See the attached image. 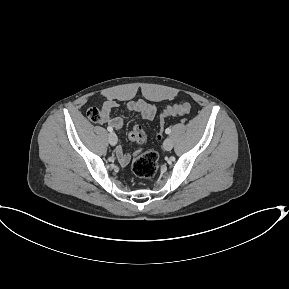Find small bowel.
Wrapping results in <instances>:
<instances>
[{"instance_id":"c3829d8e","label":"small bowel","mask_w":289,"mask_h":289,"mask_svg":"<svg viewBox=\"0 0 289 289\" xmlns=\"http://www.w3.org/2000/svg\"><path fill=\"white\" fill-rule=\"evenodd\" d=\"M117 106L118 103L115 100H106L101 108L103 118L100 122L107 123L115 130H120L123 125L122 118L118 116H111L112 110ZM126 107L130 112L145 120H152L156 114V107L153 104L147 103L145 101H129ZM115 154L121 165H127L129 163L131 158L130 154L126 153L120 146L116 148Z\"/></svg>"}]
</instances>
